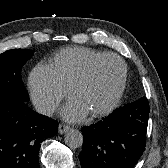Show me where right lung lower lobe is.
Masks as SVG:
<instances>
[{
  "instance_id": "1",
  "label": "right lung lower lobe",
  "mask_w": 168,
  "mask_h": 168,
  "mask_svg": "<svg viewBox=\"0 0 168 168\" xmlns=\"http://www.w3.org/2000/svg\"><path fill=\"white\" fill-rule=\"evenodd\" d=\"M57 129L26 102L0 97V168H39L40 145Z\"/></svg>"
}]
</instances>
